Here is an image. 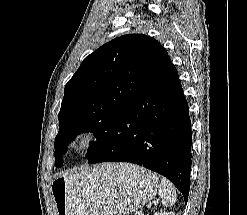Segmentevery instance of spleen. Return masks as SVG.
Here are the masks:
<instances>
[{
    "label": "spleen",
    "mask_w": 247,
    "mask_h": 215,
    "mask_svg": "<svg viewBox=\"0 0 247 215\" xmlns=\"http://www.w3.org/2000/svg\"><path fill=\"white\" fill-rule=\"evenodd\" d=\"M158 194L163 206H172L176 202L177 196L174 186L166 178L161 179Z\"/></svg>",
    "instance_id": "1"
}]
</instances>
